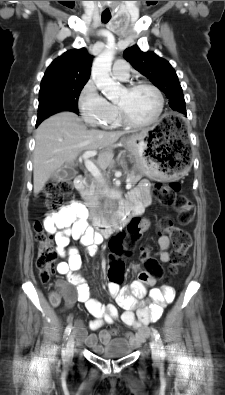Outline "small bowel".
Masks as SVG:
<instances>
[{
	"mask_svg": "<svg viewBox=\"0 0 225 395\" xmlns=\"http://www.w3.org/2000/svg\"><path fill=\"white\" fill-rule=\"evenodd\" d=\"M151 202L150 184L148 181H141L130 193L128 201L122 208L130 209L134 215L142 212L143 208ZM88 211L79 202H72L58 212L48 214L43 225L45 230L54 235L58 254L64 258L58 263L57 272L65 275L69 284L76 287V294L66 297L67 306H71L75 301L84 303L87 311L94 317L89 323L91 330H99L104 324L113 323L118 317V311L113 305L104 306L98 300L91 297L90 288L85 277L79 272L82 262L76 248L70 246V239L80 240L86 247L90 255L97 252L98 245L102 239L94 233L87 223ZM142 231L150 226L148 219L139 222ZM170 239L162 235L158 239L159 262L165 264L170 261L169 249ZM145 262V261H144ZM155 275H148V271H138V278L129 286L122 288H112L108 284V292L116 303L124 309L120 315V320L126 326L133 327L136 332L126 334V339L134 346L140 345L148 336L147 325L158 320L163 308L174 300V290L169 286L154 287ZM147 287H151L147 291ZM148 295L151 304L145 306L138 299ZM72 316L68 317V322H72ZM71 325V324H70ZM77 342L95 348L98 341L105 345L112 336L116 335V330H101L98 335L86 332L81 320L75 322Z\"/></svg>",
	"mask_w": 225,
	"mask_h": 395,
	"instance_id": "1",
	"label": "small bowel"
}]
</instances>
